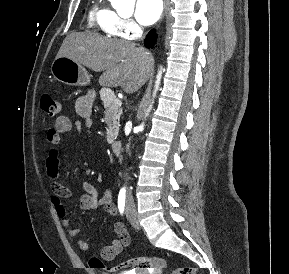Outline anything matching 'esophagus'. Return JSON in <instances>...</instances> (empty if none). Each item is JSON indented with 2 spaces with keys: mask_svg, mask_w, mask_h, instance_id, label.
Segmentation results:
<instances>
[{
  "mask_svg": "<svg viewBox=\"0 0 289 274\" xmlns=\"http://www.w3.org/2000/svg\"><path fill=\"white\" fill-rule=\"evenodd\" d=\"M169 7V0H164V16L166 15Z\"/></svg>",
  "mask_w": 289,
  "mask_h": 274,
  "instance_id": "34e87169",
  "label": "esophagus"
}]
</instances>
